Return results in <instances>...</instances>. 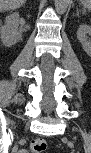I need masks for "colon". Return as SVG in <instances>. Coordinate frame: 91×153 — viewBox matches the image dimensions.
Returning <instances> with one entry per match:
<instances>
[{
	"mask_svg": "<svg viewBox=\"0 0 91 153\" xmlns=\"http://www.w3.org/2000/svg\"><path fill=\"white\" fill-rule=\"evenodd\" d=\"M48 149V142L45 139H33L29 145V151L32 153H42Z\"/></svg>",
	"mask_w": 91,
	"mask_h": 153,
	"instance_id": "colon-1",
	"label": "colon"
}]
</instances>
